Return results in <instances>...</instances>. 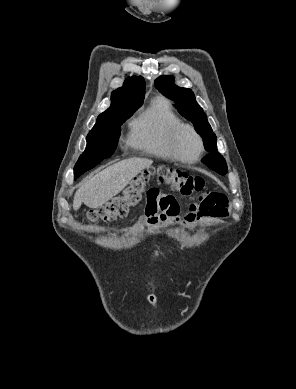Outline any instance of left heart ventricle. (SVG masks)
Here are the masks:
<instances>
[{
	"mask_svg": "<svg viewBox=\"0 0 296 389\" xmlns=\"http://www.w3.org/2000/svg\"><path fill=\"white\" fill-rule=\"evenodd\" d=\"M180 154L187 159H192L197 155L198 143L195 137L187 130L182 131L178 139Z\"/></svg>",
	"mask_w": 296,
	"mask_h": 389,
	"instance_id": "b2bd125f",
	"label": "left heart ventricle"
}]
</instances>
